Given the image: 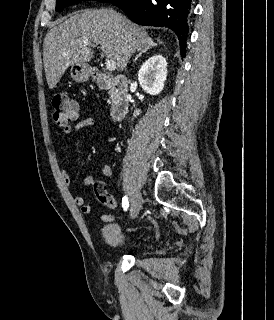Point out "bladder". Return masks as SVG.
Returning <instances> with one entry per match:
<instances>
[{
    "label": "bladder",
    "instance_id": "1",
    "mask_svg": "<svg viewBox=\"0 0 274 320\" xmlns=\"http://www.w3.org/2000/svg\"><path fill=\"white\" fill-rule=\"evenodd\" d=\"M104 237L108 244L116 250H131L135 251L141 248L142 242L138 239H133L124 242V237L118 224L109 223L103 230Z\"/></svg>",
    "mask_w": 274,
    "mask_h": 320
}]
</instances>
